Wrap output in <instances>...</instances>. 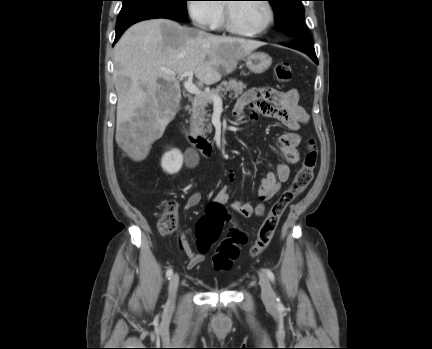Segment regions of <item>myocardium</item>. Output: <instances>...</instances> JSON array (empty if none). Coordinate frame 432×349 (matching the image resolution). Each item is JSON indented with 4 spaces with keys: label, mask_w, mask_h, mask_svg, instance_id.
Wrapping results in <instances>:
<instances>
[{
    "label": "myocardium",
    "mask_w": 432,
    "mask_h": 349,
    "mask_svg": "<svg viewBox=\"0 0 432 349\" xmlns=\"http://www.w3.org/2000/svg\"><path fill=\"white\" fill-rule=\"evenodd\" d=\"M261 2H263L266 5V7L268 9V13H269L267 23L265 24V26L263 28L256 30V31H245V30L239 29L234 24V21H233L231 3L226 2V4L224 5L225 6L224 23H225L226 29L233 34L245 36V37H260V36L265 35L269 31V29L271 28V26L273 25V23L275 21V10H274V6L270 0H261Z\"/></svg>",
    "instance_id": "f54148a6"
}]
</instances>
